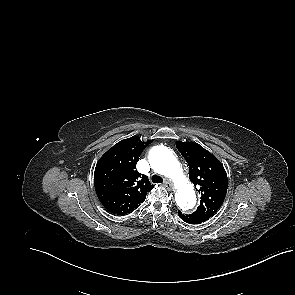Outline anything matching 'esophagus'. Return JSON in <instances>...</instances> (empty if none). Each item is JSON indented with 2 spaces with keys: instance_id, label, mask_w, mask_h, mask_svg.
Segmentation results:
<instances>
[{
  "instance_id": "1",
  "label": "esophagus",
  "mask_w": 295,
  "mask_h": 295,
  "mask_svg": "<svg viewBox=\"0 0 295 295\" xmlns=\"http://www.w3.org/2000/svg\"><path fill=\"white\" fill-rule=\"evenodd\" d=\"M164 186L168 189H172V184L169 180H165L164 181Z\"/></svg>"
}]
</instances>
